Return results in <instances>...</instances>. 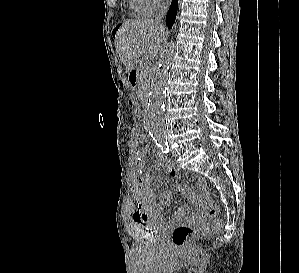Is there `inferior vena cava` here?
<instances>
[{"instance_id":"602c4592","label":"inferior vena cava","mask_w":299,"mask_h":273,"mask_svg":"<svg viewBox=\"0 0 299 273\" xmlns=\"http://www.w3.org/2000/svg\"><path fill=\"white\" fill-rule=\"evenodd\" d=\"M168 0H159L158 2V15L155 19V21L161 26L164 27L162 24L163 18L167 12L168 9Z\"/></svg>"}]
</instances>
